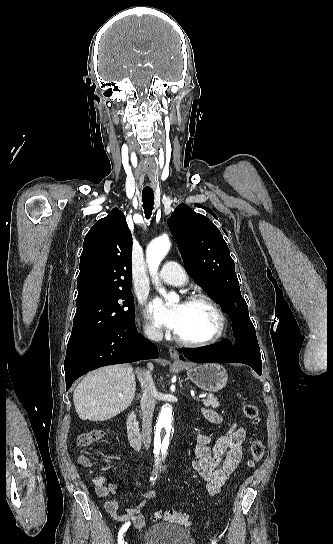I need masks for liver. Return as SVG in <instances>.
Returning <instances> with one entry per match:
<instances>
[{
  "label": "liver",
  "mask_w": 333,
  "mask_h": 544,
  "mask_svg": "<svg viewBox=\"0 0 333 544\" xmlns=\"http://www.w3.org/2000/svg\"><path fill=\"white\" fill-rule=\"evenodd\" d=\"M148 368L152 370L153 364H148ZM135 388V374L128 364L94 370L74 390L76 412L81 420H109L131 405Z\"/></svg>",
  "instance_id": "1"
}]
</instances>
